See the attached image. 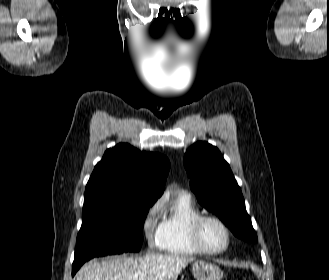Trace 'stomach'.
Masks as SVG:
<instances>
[{
	"instance_id": "obj_1",
	"label": "stomach",
	"mask_w": 329,
	"mask_h": 280,
	"mask_svg": "<svg viewBox=\"0 0 329 280\" xmlns=\"http://www.w3.org/2000/svg\"><path fill=\"white\" fill-rule=\"evenodd\" d=\"M192 273L196 280H221L223 277L218 265L204 261L195 262Z\"/></svg>"
}]
</instances>
